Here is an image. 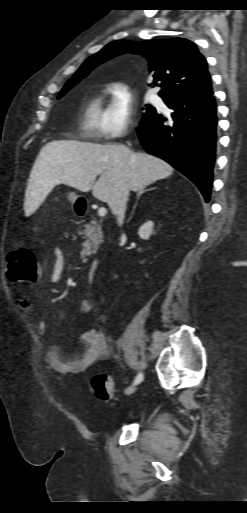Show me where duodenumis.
<instances>
[{"label": "duodenum", "mask_w": 247, "mask_h": 513, "mask_svg": "<svg viewBox=\"0 0 247 513\" xmlns=\"http://www.w3.org/2000/svg\"><path fill=\"white\" fill-rule=\"evenodd\" d=\"M77 209L82 213V214H85L87 212V205L85 203L83 204H79ZM99 265V261L98 260H94L92 263H91V267L90 269L91 270H96V268L98 267Z\"/></svg>", "instance_id": "410a0bca"}]
</instances>
